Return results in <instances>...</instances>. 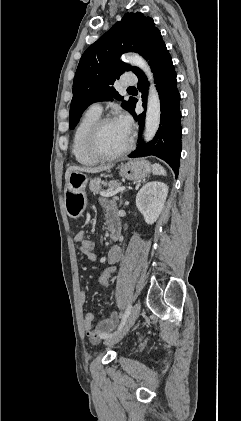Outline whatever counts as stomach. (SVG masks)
Wrapping results in <instances>:
<instances>
[{"mask_svg":"<svg viewBox=\"0 0 241 421\" xmlns=\"http://www.w3.org/2000/svg\"><path fill=\"white\" fill-rule=\"evenodd\" d=\"M119 174L131 181L143 180L151 172V165L143 159L129 160L119 167ZM87 176L83 172H71L64 189V206L70 218L81 217L87 206Z\"/></svg>","mask_w":241,"mask_h":421,"instance_id":"0dacf381","label":"stomach"}]
</instances>
